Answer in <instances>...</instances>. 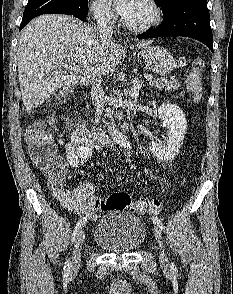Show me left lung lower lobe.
<instances>
[{
  "label": "left lung lower lobe",
  "mask_w": 233,
  "mask_h": 294,
  "mask_svg": "<svg viewBox=\"0 0 233 294\" xmlns=\"http://www.w3.org/2000/svg\"><path fill=\"white\" fill-rule=\"evenodd\" d=\"M162 23L154 30L137 35L139 39L185 36L201 41L213 52V36L207 3L182 1L163 13Z\"/></svg>",
  "instance_id": "obj_1"
}]
</instances>
